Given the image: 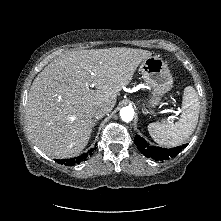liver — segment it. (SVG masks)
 <instances>
[{"label":"liver","instance_id":"liver-1","mask_svg":"<svg viewBox=\"0 0 221 221\" xmlns=\"http://www.w3.org/2000/svg\"><path fill=\"white\" fill-rule=\"evenodd\" d=\"M152 53L114 47L68 51L55 58L34 79L25 119L34 143L52 158L78 155L88 144L93 120L91 107L110 112L117 93L132 80ZM94 85L96 90L90 89Z\"/></svg>","mask_w":221,"mask_h":221}]
</instances>
